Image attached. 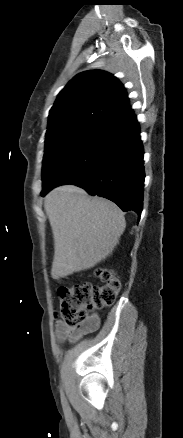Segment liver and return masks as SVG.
<instances>
[{
    "mask_svg": "<svg viewBox=\"0 0 183 438\" xmlns=\"http://www.w3.org/2000/svg\"><path fill=\"white\" fill-rule=\"evenodd\" d=\"M44 208L54 238V279L90 269L104 260L126 227L124 214L113 202L90 197L74 185L52 190L45 197Z\"/></svg>",
    "mask_w": 183,
    "mask_h": 438,
    "instance_id": "liver-1",
    "label": "liver"
}]
</instances>
